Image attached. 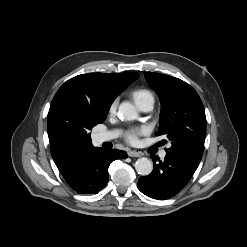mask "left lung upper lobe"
Returning a JSON list of instances; mask_svg holds the SVG:
<instances>
[{"label": "left lung upper lobe", "mask_w": 247, "mask_h": 247, "mask_svg": "<svg viewBox=\"0 0 247 247\" xmlns=\"http://www.w3.org/2000/svg\"><path fill=\"white\" fill-rule=\"evenodd\" d=\"M147 83L161 100L157 136L171 141L166 153L199 164L206 135V116L202 101L186 82L164 74L145 73Z\"/></svg>", "instance_id": "5c2ea615"}]
</instances>
